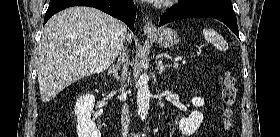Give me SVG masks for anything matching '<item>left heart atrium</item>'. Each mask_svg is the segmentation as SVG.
Returning a JSON list of instances; mask_svg holds the SVG:
<instances>
[{"label": "left heart atrium", "mask_w": 280, "mask_h": 137, "mask_svg": "<svg viewBox=\"0 0 280 137\" xmlns=\"http://www.w3.org/2000/svg\"><path fill=\"white\" fill-rule=\"evenodd\" d=\"M150 2L153 3V4L158 5V4L168 3L169 0H150Z\"/></svg>", "instance_id": "obj_1"}]
</instances>
